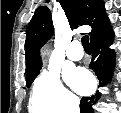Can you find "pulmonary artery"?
Segmentation results:
<instances>
[{"label":"pulmonary artery","instance_id":"e3ab8cb5","mask_svg":"<svg viewBox=\"0 0 121 113\" xmlns=\"http://www.w3.org/2000/svg\"><path fill=\"white\" fill-rule=\"evenodd\" d=\"M66 56L71 61H79L83 57V50L78 41H73L69 44L66 50Z\"/></svg>","mask_w":121,"mask_h":113}]
</instances>
